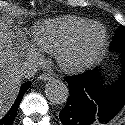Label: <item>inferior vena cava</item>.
<instances>
[{
  "mask_svg": "<svg viewBox=\"0 0 125 125\" xmlns=\"http://www.w3.org/2000/svg\"><path fill=\"white\" fill-rule=\"evenodd\" d=\"M37 71V65L35 63H28L20 68V76L25 78H31Z\"/></svg>",
  "mask_w": 125,
  "mask_h": 125,
  "instance_id": "inferior-vena-cava-1",
  "label": "inferior vena cava"
}]
</instances>
